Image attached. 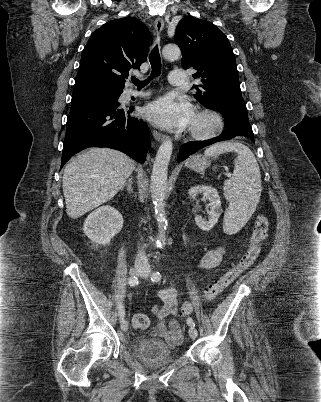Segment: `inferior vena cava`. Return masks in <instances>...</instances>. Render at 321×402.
Segmentation results:
<instances>
[{"label": "inferior vena cava", "instance_id": "602c4592", "mask_svg": "<svg viewBox=\"0 0 321 402\" xmlns=\"http://www.w3.org/2000/svg\"><path fill=\"white\" fill-rule=\"evenodd\" d=\"M135 266L136 267H143V268H148L149 267V263H148V259L147 256L145 254L144 249H140L137 256H136V260H135Z\"/></svg>", "mask_w": 321, "mask_h": 402}]
</instances>
